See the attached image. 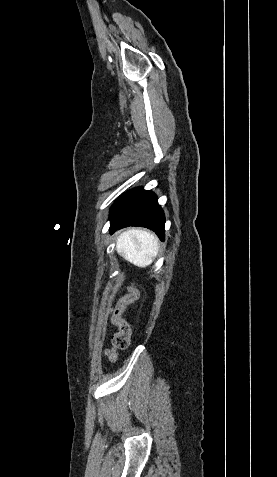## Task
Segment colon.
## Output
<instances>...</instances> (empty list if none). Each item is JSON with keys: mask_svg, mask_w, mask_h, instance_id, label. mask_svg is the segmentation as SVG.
I'll list each match as a JSON object with an SVG mask.
<instances>
[{"mask_svg": "<svg viewBox=\"0 0 277 477\" xmlns=\"http://www.w3.org/2000/svg\"><path fill=\"white\" fill-rule=\"evenodd\" d=\"M142 292L138 285H130L128 291L116 302L115 309L112 311L111 324L119 326V331L112 337L111 348L106 351V355L110 360H115L117 351L128 348L131 337L130 325L123 318V313L127 311L131 304H139L141 302Z\"/></svg>", "mask_w": 277, "mask_h": 477, "instance_id": "colon-1", "label": "colon"}]
</instances>
